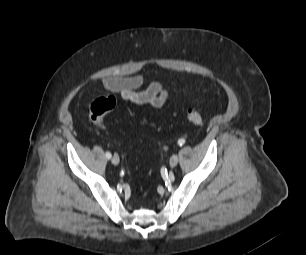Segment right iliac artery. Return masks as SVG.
<instances>
[{
	"label": "right iliac artery",
	"mask_w": 306,
	"mask_h": 255,
	"mask_svg": "<svg viewBox=\"0 0 306 255\" xmlns=\"http://www.w3.org/2000/svg\"><path fill=\"white\" fill-rule=\"evenodd\" d=\"M105 156H106V158L110 159L112 155H111L110 152H106V153H105Z\"/></svg>",
	"instance_id": "obj_1"
}]
</instances>
